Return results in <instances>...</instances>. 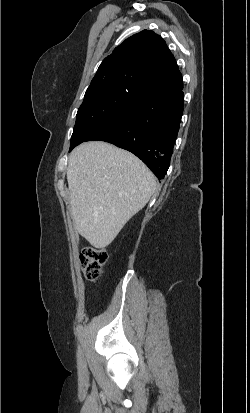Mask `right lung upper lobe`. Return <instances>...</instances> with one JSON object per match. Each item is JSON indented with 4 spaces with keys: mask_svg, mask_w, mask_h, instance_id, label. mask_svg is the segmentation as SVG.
I'll return each instance as SVG.
<instances>
[{
    "mask_svg": "<svg viewBox=\"0 0 250 413\" xmlns=\"http://www.w3.org/2000/svg\"><path fill=\"white\" fill-rule=\"evenodd\" d=\"M182 84V75L165 41L153 31L143 30L102 61L88 88L123 86L145 94Z\"/></svg>",
    "mask_w": 250,
    "mask_h": 413,
    "instance_id": "1",
    "label": "right lung upper lobe"
}]
</instances>
